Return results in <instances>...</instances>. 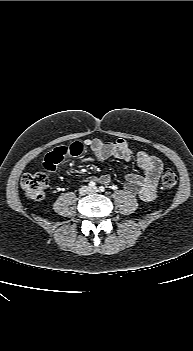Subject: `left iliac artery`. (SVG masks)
<instances>
[{
  "mask_svg": "<svg viewBox=\"0 0 193 351\" xmlns=\"http://www.w3.org/2000/svg\"><path fill=\"white\" fill-rule=\"evenodd\" d=\"M99 191H100V192H104V191H105V188H104L103 186H100V187H99Z\"/></svg>",
  "mask_w": 193,
  "mask_h": 351,
  "instance_id": "1",
  "label": "left iliac artery"
}]
</instances>
